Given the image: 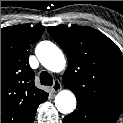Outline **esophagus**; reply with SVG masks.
Listing matches in <instances>:
<instances>
[{
    "mask_svg": "<svg viewBox=\"0 0 123 123\" xmlns=\"http://www.w3.org/2000/svg\"><path fill=\"white\" fill-rule=\"evenodd\" d=\"M61 88H62V85H61V82L59 80H55L52 87H51L53 92H58L61 90Z\"/></svg>",
    "mask_w": 123,
    "mask_h": 123,
    "instance_id": "34e87169",
    "label": "esophagus"
}]
</instances>
